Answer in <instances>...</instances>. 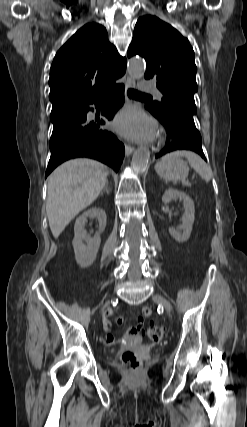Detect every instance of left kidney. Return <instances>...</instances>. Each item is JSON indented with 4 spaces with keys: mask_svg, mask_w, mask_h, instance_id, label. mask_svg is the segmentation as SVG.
<instances>
[{
    "mask_svg": "<svg viewBox=\"0 0 247 427\" xmlns=\"http://www.w3.org/2000/svg\"><path fill=\"white\" fill-rule=\"evenodd\" d=\"M179 199L183 202L184 207V214L182 218V226H180L178 229L175 228H169V233L172 236L173 239H175L179 243H183L187 241L190 237L192 226L194 223V203L193 200L184 192L178 191L175 189H168L165 191V193L162 196V202L164 204L169 203L172 200Z\"/></svg>",
    "mask_w": 247,
    "mask_h": 427,
    "instance_id": "obj_1",
    "label": "left kidney"
}]
</instances>
